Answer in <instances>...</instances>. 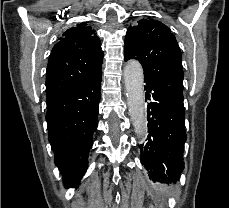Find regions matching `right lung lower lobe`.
I'll return each instance as SVG.
<instances>
[{
	"mask_svg": "<svg viewBox=\"0 0 229 208\" xmlns=\"http://www.w3.org/2000/svg\"><path fill=\"white\" fill-rule=\"evenodd\" d=\"M101 69L91 78L46 100L48 140L67 187L76 186L88 166V154L98 126Z\"/></svg>",
	"mask_w": 229,
	"mask_h": 208,
	"instance_id": "obj_1",
	"label": "right lung lower lobe"
}]
</instances>
